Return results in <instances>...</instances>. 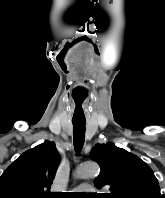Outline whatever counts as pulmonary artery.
Returning <instances> with one entry per match:
<instances>
[{"instance_id":"1","label":"pulmonary artery","mask_w":165,"mask_h":198,"mask_svg":"<svg viewBox=\"0 0 165 198\" xmlns=\"http://www.w3.org/2000/svg\"><path fill=\"white\" fill-rule=\"evenodd\" d=\"M90 189H91V187L88 186V185H80V186H78V187L76 188V191H88V190H90Z\"/></svg>"}]
</instances>
